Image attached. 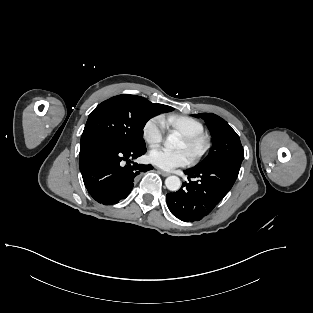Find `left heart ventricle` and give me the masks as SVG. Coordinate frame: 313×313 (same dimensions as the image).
Listing matches in <instances>:
<instances>
[{
    "label": "left heart ventricle",
    "instance_id": "left-heart-ventricle-1",
    "mask_svg": "<svg viewBox=\"0 0 313 313\" xmlns=\"http://www.w3.org/2000/svg\"><path fill=\"white\" fill-rule=\"evenodd\" d=\"M179 149L186 150L190 156H192L193 154V150L188 147V145L186 144L184 140L181 141V144L179 145Z\"/></svg>",
    "mask_w": 313,
    "mask_h": 313
}]
</instances>
